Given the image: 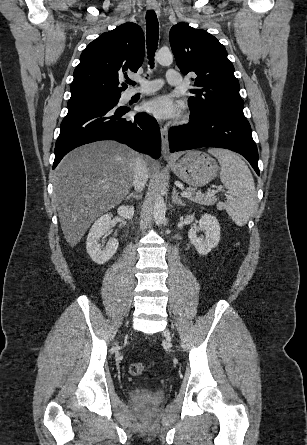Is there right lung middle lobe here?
Listing matches in <instances>:
<instances>
[{
	"label": "right lung middle lobe",
	"instance_id": "1",
	"mask_svg": "<svg viewBox=\"0 0 307 445\" xmlns=\"http://www.w3.org/2000/svg\"><path fill=\"white\" fill-rule=\"evenodd\" d=\"M120 96H96V97H90V98H84V99H76V100H69L67 103L68 107L76 104H82V103H88V102H98V101H114L118 102Z\"/></svg>",
	"mask_w": 307,
	"mask_h": 445
}]
</instances>
